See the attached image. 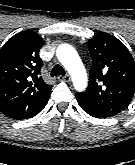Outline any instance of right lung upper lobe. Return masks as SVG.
Masks as SVG:
<instances>
[{
    "label": "right lung upper lobe",
    "instance_id": "1",
    "mask_svg": "<svg viewBox=\"0 0 135 165\" xmlns=\"http://www.w3.org/2000/svg\"><path fill=\"white\" fill-rule=\"evenodd\" d=\"M43 39L32 30L12 36L0 50V111H34L47 103L52 86L40 76Z\"/></svg>",
    "mask_w": 135,
    "mask_h": 165
}]
</instances>
